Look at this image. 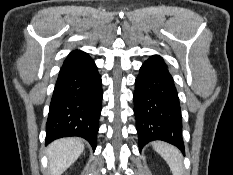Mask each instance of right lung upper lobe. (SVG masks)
Listing matches in <instances>:
<instances>
[{
    "label": "right lung upper lobe",
    "mask_w": 233,
    "mask_h": 175,
    "mask_svg": "<svg viewBox=\"0 0 233 175\" xmlns=\"http://www.w3.org/2000/svg\"><path fill=\"white\" fill-rule=\"evenodd\" d=\"M79 53H82V51H78V50L73 51V52H71V53L68 55L67 58L72 57V56H74V55H77V54H79Z\"/></svg>",
    "instance_id": "right-lung-upper-lobe-1"
}]
</instances>
